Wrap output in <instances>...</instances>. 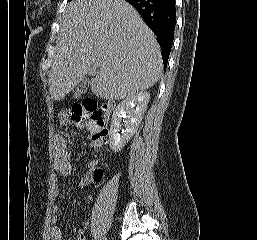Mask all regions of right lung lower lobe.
I'll return each instance as SVG.
<instances>
[{
  "label": "right lung lower lobe",
  "mask_w": 257,
  "mask_h": 240,
  "mask_svg": "<svg viewBox=\"0 0 257 240\" xmlns=\"http://www.w3.org/2000/svg\"><path fill=\"white\" fill-rule=\"evenodd\" d=\"M141 15L148 27L155 33L162 50L166 69L171 51L176 24L175 0H126Z\"/></svg>",
  "instance_id": "obj_1"
}]
</instances>
